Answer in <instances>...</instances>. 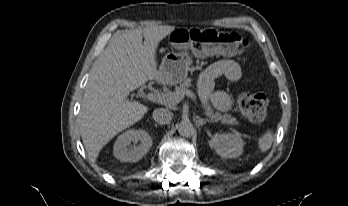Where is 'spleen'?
<instances>
[{
  "label": "spleen",
  "mask_w": 348,
  "mask_h": 206,
  "mask_svg": "<svg viewBox=\"0 0 348 206\" xmlns=\"http://www.w3.org/2000/svg\"><path fill=\"white\" fill-rule=\"evenodd\" d=\"M273 143V132L272 130H267L259 139H258V148L261 152H266L270 149Z\"/></svg>",
  "instance_id": "spleen-1"
}]
</instances>
